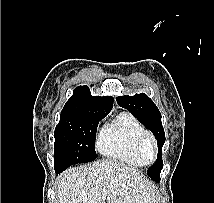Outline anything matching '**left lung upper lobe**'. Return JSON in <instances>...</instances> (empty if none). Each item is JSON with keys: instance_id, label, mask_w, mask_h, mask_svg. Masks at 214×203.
<instances>
[{"instance_id": "1", "label": "left lung upper lobe", "mask_w": 214, "mask_h": 203, "mask_svg": "<svg viewBox=\"0 0 214 203\" xmlns=\"http://www.w3.org/2000/svg\"><path fill=\"white\" fill-rule=\"evenodd\" d=\"M119 105L128 109L143 125L148 127L158 144V156L154 165H152L147 174L154 181H160V172L163 168L162 146L165 143V133L161 122V113L154 102L144 93L134 96H120L116 98Z\"/></svg>"}]
</instances>
